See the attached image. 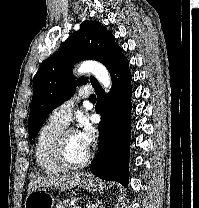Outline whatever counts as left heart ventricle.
I'll return each mask as SVG.
<instances>
[{
    "mask_svg": "<svg viewBox=\"0 0 199 208\" xmlns=\"http://www.w3.org/2000/svg\"><path fill=\"white\" fill-rule=\"evenodd\" d=\"M89 152V147H86L79 139L76 132L68 136L66 142V156L72 163H77L83 160Z\"/></svg>",
    "mask_w": 199,
    "mask_h": 208,
    "instance_id": "1",
    "label": "left heart ventricle"
}]
</instances>
